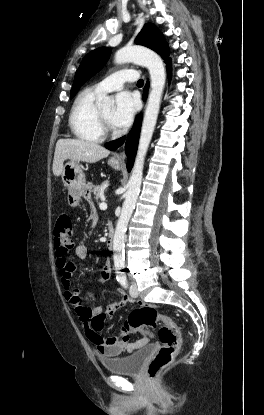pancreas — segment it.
Returning a JSON list of instances; mask_svg holds the SVG:
<instances>
[{
	"instance_id": "pancreas-1",
	"label": "pancreas",
	"mask_w": 264,
	"mask_h": 415,
	"mask_svg": "<svg viewBox=\"0 0 264 415\" xmlns=\"http://www.w3.org/2000/svg\"><path fill=\"white\" fill-rule=\"evenodd\" d=\"M93 194L95 195V200L99 202L104 196V187L102 185L94 187Z\"/></svg>"
}]
</instances>
